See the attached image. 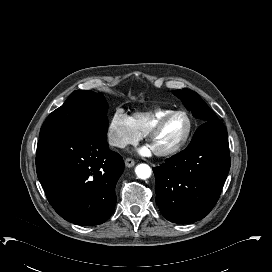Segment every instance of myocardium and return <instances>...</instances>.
<instances>
[{"label":"myocardium","mask_w":272,"mask_h":272,"mask_svg":"<svg viewBox=\"0 0 272 272\" xmlns=\"http://www.w3.org/2000/svg\"><path fill=\"white\" fill-rule=\"evenodd\" d=\"M177 115H182L185 117L186 121H187V130L185 133L184 138L182 139V141L175 146L174 148L168 149V150H164V151H157L155 152V154L159 157H170L173 156L175 154H177L178 152H180L185 145L188 143L191 134L193 132V121L190 117V115L183 111V110H174L171 111L169 113H166L164 115H162L161 117H159L146 131H145V136H146V140L149 143L151 138L153 136H155L162 128L163 126L166 124V122L171 119L174 116Z\"/></svg>","instance_id":"myocardium-1"}]
</instances>
